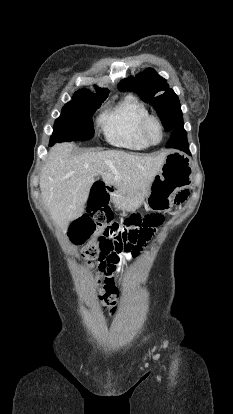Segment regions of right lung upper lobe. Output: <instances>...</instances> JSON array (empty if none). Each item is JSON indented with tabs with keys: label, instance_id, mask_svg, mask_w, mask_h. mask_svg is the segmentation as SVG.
Segmentation results:
<instances>
[{
	"label": "right lung upper lobe",
	"instance_id": "1",
	"mask_svg": "<svg viewBox=\"0 0 233 414\" xmlns=\"http://www.w3.org/2000/svg\"><path fill=\"white\" fill-rule=\"evenodd\" d=\"M97 92H98L97 94H93L89 90L81 89V90L77 91L76 93L87 95V96L91 97L92 99H95V100H98V101H104L108 97L109 90L106 89V88L97 87Z\"/></svg>",
	"mask_w": 233,
	"mask_h": 414
}]
</instances>
